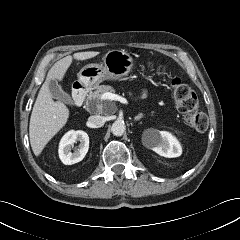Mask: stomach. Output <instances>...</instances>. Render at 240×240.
Segmentation results:
<instances>
[{
  "instance_id": "stomach-1",
  "label": "stomach",
  "mask_w": 240,
  "mask_h": 240,
  "mask_svg": "<svg viewBox=\"0 0 240 240\" xmlns=\"http://www.w3.org/2000/svg\"><path fill=\"white\" fill-rule=\"evenodd\" d=\"M102 64H88L78 73V82L88 90L98 87L104 80L127 76L133 66V57L125 50H110Z\"/></svg>"
}]
</instances>
